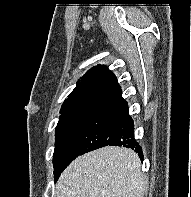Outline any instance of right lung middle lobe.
Returning a JSON list of instances; mask_svg holds the SVG:
<instances>
[{
  "mask_svg": "<svg viewBox=\"0 0 191 197\" xmlns=\"http://www.w3.org/2000/svg\"><path fill=\"white\" fill-rule=\"evenodd\" d=\"M91 110L92 108H84L61 113L55 131L56 145L53 155L55 181L60 176L76 136Z\"/></svg>",
  "mask_w": 191,
  "mask_h": 197,
  "instance_id": "dd1d6c3e",
  "label": "right lung middle lobe"
}]
</instances>
